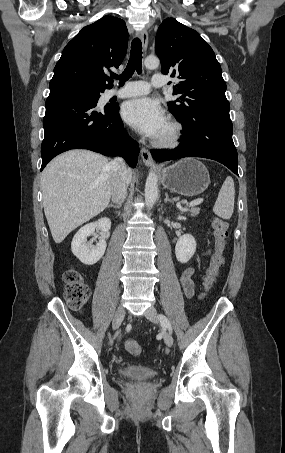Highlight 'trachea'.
I'll return each mask as SVG.
<instances>
[{"label":"trachea","instance_id":"3493384b","mask_svg":"<svg viewBox=\"0 0 285 453\" xmlns=\"http://www.w3.org/2000/svg\"><path fill=\"white\" fill-rule=\"evenodd\" d=\"M135 71L138 74L142 73V43L139 38L133 39L131 43L130 59L123 73L120 76L114 74L112 78L119 79V85L122 86L125 81L132 77Z\"/></svg>","mask_w":285,"mask_h":453}]
</instances>
